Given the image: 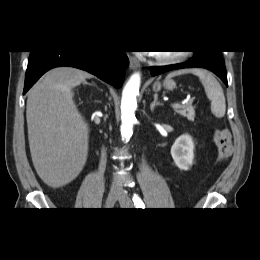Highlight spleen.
<instances>
[{
    "mask_svg": "<svg viewBox=\"0 0 260 260\" xmlns=\"http://www.w3.org/2000/svg\"><path fill=\"white\" fill-rule=\"evenodd\" d=\"M185 73H193L194 75L199 77L205 89V93L208 99L211 101V112L217 118L224 117L226 112L225 96L221 85L215 79V77L206 70L195 68L172 72L168 74L167 79Z\"/></svg>",
    "mask_w": 260,
    "mask_h": 260,
    "instance_id": "obj_1",
    "label": "spleen"
}]
</instances>
